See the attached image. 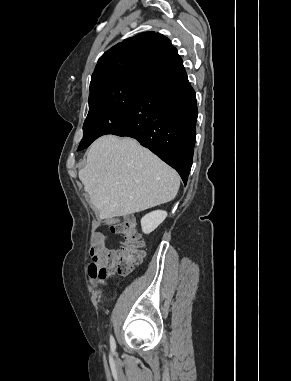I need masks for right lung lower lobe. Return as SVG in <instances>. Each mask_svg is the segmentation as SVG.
<instances>
[{
    "instance_id": "98d812e1",
    "label": "right lung lower lobe",
    "mask_w": 291,
    "mask_h": 381,
    "mask_svg": "<svg viewBox=\"0 0 291 381\" xmlns=\"http://www.w3.org/2000/svg\"><path fill=\"white\" fill-rule=\"evenodd\" d=\"M197 115L195 91L179 57L142 80L124 126L113 134L138 140L173 167L186 184Z\"/></svg>"
}]
</instances>
